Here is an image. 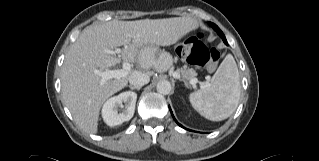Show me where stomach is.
I'll list each match as a JSON object with an SVG mask.
<instances>
[{
  "label": "stomach",
  "instance_id": "stomach-1",
  "mask_svg": "<svg viewBox=\"0 0 319 161\" xmlns=\"http://www.w3.org/2000/svg\"><path fill=\"white\" fill-rule=\"evenodd\" d=\"M141 59H147L155 63L161 71L168 70L173 64V58L170 53L159 49L155 45H147L143 47L139 54Z\"/></svg>",
  "mask_w": 319,
  "mask_h": 161
}]
</instances>
